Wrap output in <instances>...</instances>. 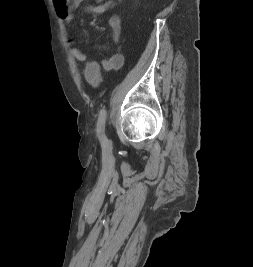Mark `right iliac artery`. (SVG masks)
Wrapping results in <instances>:
<instances>
[{"label": "right iliac artery", "instance_id": "right-iliac-artery-1", "mask_svg": "<svg viewBox=\"0 0 253 267\" xmlns=\"http://www.w3.org/2000/svg\"><path fill=\"white\" fill-rule=\"evenodd\" d=\"M107 112L105 109H102L97 122V136L103 147L108 146V139L105 135V121H106Z\"/></svg>", "mask_w": 253, "mask_h": 267}]
</instances>
